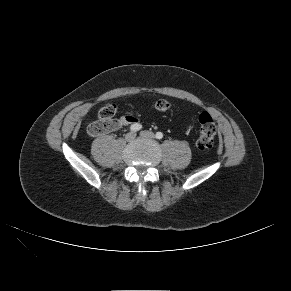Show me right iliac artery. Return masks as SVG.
Returning a JSON list of instances; mask_svg holds the SVG:
<instances>
[{
	"label": "right iliac artery",
	"mask_w": 291,
	"mask_h": 291,
	"mask_svg": "<svg viewBox=\"0 0 291 291\" xmlns=\"http://www.w3.org/2000/svg\"><path fill=\"white\" fill-rule=\"evenodd\" d=\"M141 128H142V125L139 123H135L130 126V130L134 132L139 131Z\"/></svg>",
	"instance_id": "right-iliac-artery-1"
}]
</instances>
